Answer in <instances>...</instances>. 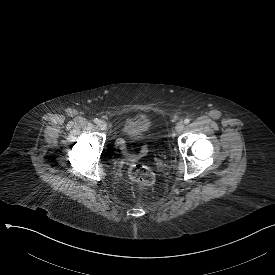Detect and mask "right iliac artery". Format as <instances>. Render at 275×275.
I'll return each instance as SVG.
<instances>
[{
    "mask_svg": "<svg viewBox=\"0 0 275 275\" xmlns=\"http://www.w3.org/2000/svg\"><path fill=\"white\" fill-rule=\"evenodd\" d=\"M94 122H95L96 124H98V123H99V119H98V118H95V119H94Z\"/></svg>",
    "mask_w": 275,
    "mask_h": 275,
    "instance_id": "1",
    "label": "right iliac artery"
}]
</instances>
